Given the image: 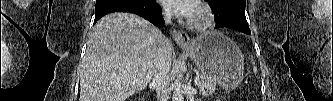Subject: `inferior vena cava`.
<instances>
[{"instance_id": "obj_1", "label": "inferior vena cava", "mask_w": 333, "mask_h": 101, "mask_svg": "<svg viewBox=\"0 0 333 101\" xmlns=\"http://www.w3.org/2000/svg\"><path fill=\"white\" fill-rule=\"evenodd\" d=\"M164 19L166 23L171 22V12L165 10ZM171 45L165 38L157 51L155 68L153 73V85L157 93V101H168V82L171 68Z\"/></svg>"}]
</instances>
